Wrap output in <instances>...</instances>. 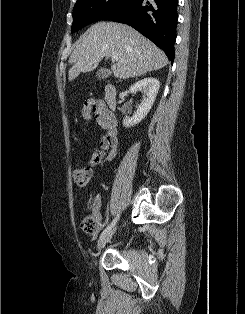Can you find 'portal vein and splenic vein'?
<instances>
[{
	"label": "portal vein and splenic vein",
	"instance_id": "18ae733b",
	"mask_svg": "<svg viewBox=\"0 0 245 314\" xmlns=\"http://www.w3.org/2000/svg\"><path fill=\"white\" fill-rule=\"evenodd\" d=\"M111 59H112V61H117L118 57L117 56H112Z\"/></svg>",
	"mask_w": 245,
	"mask_h": 314
}]
</instances>
